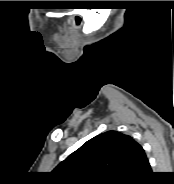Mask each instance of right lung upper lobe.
I'll list each match as a JSON object with an SVG mask.
<instances>
[{
    "label": "right lung upper lobe",
    "instance_id": "1",
    "mask_svg": "<svg viewBox=\"0 0 174 184\" xmlns=\"http://www.w3.org/2000/svg\"><path fill=\"white\" fill-rule=\"evenodd\" d=\"M147 163L143 148L133 138L108 131L84 143L53 173L66 184H115L134 178Z\"/></svg>",
    "mask_w": 174,
    "mask_h": 184
}]
</instances>
